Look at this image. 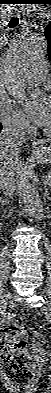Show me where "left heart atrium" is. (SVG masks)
I'll use <instances>...</instances> for the list:
<instances>
[{
  "instance_id": "obj_1",
  "label": "left heart atrium",
  "mask_w": 51,
  "mask_h": 393,
  "mask_svg": "<svg viewBox=\"0 0 51 393\" xmlns=\"http://www.w3.org/2000/svg\"><path fill=\"white\" fill-rule=\"evenodd\" d=\"M24 116L38 126H46L50 120V103L48 99L42 95L34 108H25Z\"/></svg>"
}]
</instances>
